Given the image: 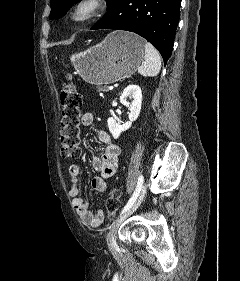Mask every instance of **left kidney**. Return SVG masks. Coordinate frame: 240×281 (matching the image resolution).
Returning a JSON list of instances; mask_svg holds the SVG:
<instances>
[{"mask_svg": "<svg viewBox=\"0 0 240 281\" xmlns=\"http://www.w3.org/2000/svg\"><path fill=\"white\" fill-rule=\"evenodd\" d=\"M128 98L131 101H128ZM120 102L128 107L130 114L129 121L123 125L117 123L114 118L110 117L108 119L109 131L115 139L119 138L122 132L128 130L131 127L132 122L135 121L140 114L142 104V92L140 87L138 85H129L126 87L120 96Z\"/></svg>", "mask_w": 240, "mask_h": 281, "instance_id": "left-kidney-1", "label": "left kidney"}]
</instances>
